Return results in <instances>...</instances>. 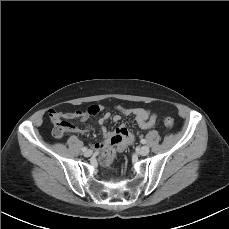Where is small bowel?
I'll use <instances>...</instances> for the list:
<instances>
[{
    "mask_svg": "<svg viewBox=\"0 0 229 229\" xmlns=\"http://www.w3.org/2000/svg\"><path fill=\"white\" fill-rule=\"evenodd\" d=\"M117 109L120 111L121 114L125 116L133 115L135 118L136 124L140 129H143V130L149 129L153 127L156 123L155 117L150 113L149 110H146L144 108H126L123 106H118ZM88 116L89 115L86 114V111L83 112L80 110L66 114L67 118L81 119V120H86ZM109 118H110L109 113L103 114L99 119V124L103 125ZM112 120L114 122H119L121 120V116L114 115L112 117ZM69 130L75 133H79V134H82L86 131L85 129H82V128H79L73 125L70 126ZM101 133L103 136V141L94 144V148L96 149L105 150L110 145L111 140L115 135H122L124 137L123 143L125 144H131L135 139L134 134L125 125L119 126L115 130V132H110L109 130L106 129V127H102Z\"/></svg>",
    "mask_w": 229,
    "mask_h": 229,
    "instance_id": "small-bowel-1",
    "label": "small bowel"
}]
</instances>
